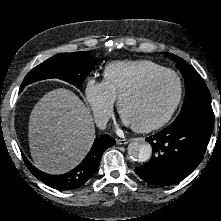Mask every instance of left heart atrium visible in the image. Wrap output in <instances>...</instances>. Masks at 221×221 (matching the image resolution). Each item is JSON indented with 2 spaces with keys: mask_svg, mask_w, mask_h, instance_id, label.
<instances>
[{
  "mask_svg": "<svg viewBox=\"0 0 221 221\" xmlns=\"http://www.w3.org/2000/svg\"><path fill=\"white\" fill-rule=\"evenodd\" d=\"M123 122H124V124H126V125H130V122H129L127 119H125L124 117H123Z\"/></svg>",
  "mask_w": 221,
  "mask_h": 221,
  "instance_id": "obj_1",
  "label": "left heart atrium"
}]
</instances>
